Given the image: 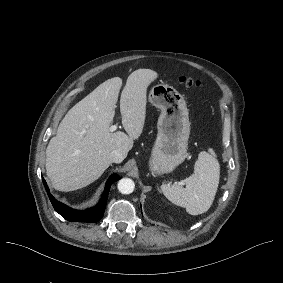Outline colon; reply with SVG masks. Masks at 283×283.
Here are the masks:
<instances>
[{"mask_svg": "<svg viewBox=\"0 0 283 283\" xmlns=\"http://www.w3.org/2000/svg\"><path fill=\"white\" fill-rule=\"evenodd\" d=\"M179 83L186 88H196L199 83L190 77L182 76L179 78Z\"/></svg>", "mask_w": 283, "mask_h": 283, "instance_id": "1", "label": "colon"}]
</instances>
